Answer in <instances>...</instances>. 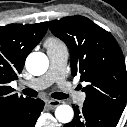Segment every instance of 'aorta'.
<instances>
[{
	"mask_svg": "<svg viewBox=\"0 0 127 127\" xmlns=\"http://www.w3.org/2000/svg\"><path fill=\"white\" fill-rule=\"evenodd\" d=\"M25 65L30 74L40 76L47 71L49 60L42 52H32L28 55ZM73 116V109L69 105H59L55 110V117L61 123H69Z\"/></svg>",
	"mask_w": 127,
	"mask_h": 127,
	"instance_id": "aorta-1",
	"label": "aorta"
}]
</instances>
